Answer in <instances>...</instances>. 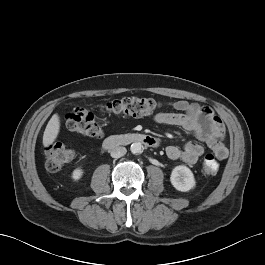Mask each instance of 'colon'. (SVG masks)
Listing matches in <instances>:
<instances>
[{
  "mask_svg": "<svg viewBox=\"0 0 265 265\" xmlns=\"http://www.w3.org/2000/svg\"><path fill=\"white\" fill-rule=\"evenodd\" d=\"M160 103L152 98L125 97L113 100L104 106L111 114L130 117L149 116L157 112ZM66 124L70 131L88 137L99 138L102 127L96 117L88 110L74 108L66 115ZM75 152L64 144H50L46 148V168L50 172H57L73 160ZM203 171L214 175L219 170V162L214 154H207L202 161Z\"/></svg>",
  "mask_w": 265,
  "mask_h": 265,
  "instance_id": "colon-1",
  "label": "colon"
}]
</instances>
